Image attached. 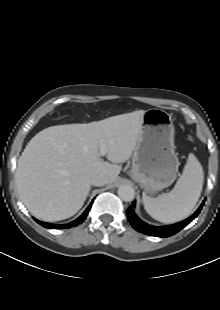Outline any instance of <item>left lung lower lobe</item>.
I'll use <instances>...</instances> for the list:
<instances>
[{
  "mask_svg": "<svg viewBox=\"0 0 220 310\" xmlns=\"http://www.w3.org/2000/svg\"><path fill=\"white\" fill-rule=\"evenodd\" d=\"M203 205H204V201L202 202V204L200 205L198 210L192 216H190L188 219H186L180 223H177V224H173V225H169V226H163V227L152 226V225H149V224L143 222L142 220H140L137 217V215L135 214L134 209H133V207L135 206V202H132V206L128 208L127 215H128V219H129L130 224L137 231L144 233V234H147V235H152V236L164 238V237H169V236L176 234L181 229H183L186 225H188L194 218H196L198 216Z\"/></svg>",
  "mask_w": 220,
  "mask_h": 310,
  "instance_id": "left-lung-lower-lobe-1",
  "label": "left lung lower lobe"
}]
</instances>
